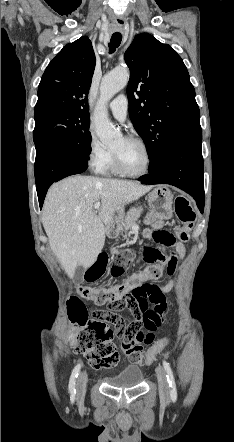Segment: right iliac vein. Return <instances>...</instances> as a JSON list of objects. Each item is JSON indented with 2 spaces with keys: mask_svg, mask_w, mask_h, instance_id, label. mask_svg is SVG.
Returning a JSON list of instances; mask_svg holds the SVG:
<instances>
[{
  "mask_svg": "<svg viewBox=\"0 0 234 442\" xmlns=\"http://www.w3.org/2000/svg\"><path fill=\"white\" fill-rule=\"evenodd\" d=\"M88 376L86 372H83L77 382V397L82 398L85 390H86V384H87Z\"/></svg>",
  "mask_w": 234,
  "mask_h": 442,
  "instance_id": "1",
  "label": "right iliac vein"
}]
</instances>
